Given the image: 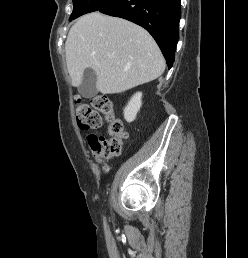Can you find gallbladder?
Listing matches in <instances>:
<instances>
[{
    "label": "gallbladder",
    "mask_w": 248,
    "mask_h": 258,
    "mask_svg": "<svg viewBox=\"0 0 248 258\" xmlns=\"http://www.w3.org/2000/svg\"><path fill=\"white\" fill-rule=\"evenodd\" d=\"M96 72L91 68H86L83 72L82 83L79 86L80 94L85 98H91L96 93Z\"/></svg>",
    "instance_id": "bac80fb5"
}]
</instances>
